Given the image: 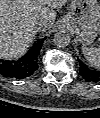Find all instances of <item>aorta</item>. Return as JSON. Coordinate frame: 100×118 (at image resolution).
I'll return each mask as SVG.
<instances>
[{
	"label": "aorta",
	"instance_id": "1",
	"mask_svg": "<svg viewBox=\"0 0 100 118\" xmlns=\"http://www.w3.org/2000/svg\"><path fill=\"white\" fill-rule=\"evenodd\" d=\"M70 35L65 31H59L54 35V43L57 47L64 48L70 43Z\"/></svg>",
	"mask_w": 100,
	"mask_h": 118
}]
</instances>
